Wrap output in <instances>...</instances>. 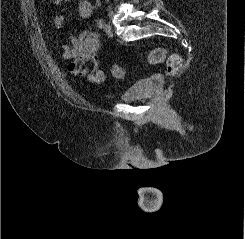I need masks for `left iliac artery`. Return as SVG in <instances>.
I'll return each mask as SVG.
<instances>
[{
  "label": "left iliac artery",
  "mask_w": 245,
  "mask_h": 239,
  "mask_svg": "<svg viewBox=\"0 0 245 239\" xmlns=\"http://www.w3.org/2000/svg\"><path fill=\"white\" fill-rule=\"evenodd\" d=\"M103 24H104V20H103L102 18H99V19L97 20V25H98V27H99L100 29L103 28Z\"/></svg>",
  "instance_id": "left-iliac-artery-1"
}]
</instances>
